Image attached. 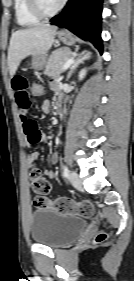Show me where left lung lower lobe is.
<instances>
[{
	"mask_svg": "<svg viewBox=\"0 0 134 281\" xmlns=\"http://www.w3.org/2000/svg\"><path fill=\"white\" fill-rule=\"evenodd\" d=\"M103 0H70L64 11L50 20L91 41L103 53L101 15Z\"/></svg>",
	"mask_w": 134,
	"mask_h": 281,
	"instance_id": "0a47b994",
	"label": "left lung lower lobe"
}]
</instances>
